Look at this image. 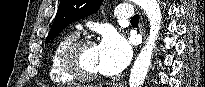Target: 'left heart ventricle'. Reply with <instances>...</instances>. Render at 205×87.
I'll list each match as a JSON object with an SVG mask.
<instances>
[{"mask_svg":"<svg viewBox=\"0 0 205 87\" xmlns=\"http://www.w3.org/2000/svg\"><path fill=\"white\" fill-rule=\"evenodd\" d=\"M78 65L83 73H99V58L96 46L84 48L78 56Z\"/></svg>","mask_w":205,"mask_h":87,"instance_id":"b2bd125f","label":"left heart ventricle"}]
</instances>
